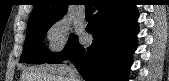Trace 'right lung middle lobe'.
<instances>
[{
    "label": "right lung middle lobe",
    "instance_id": "obj_1",
    "mask_svg": "<svg viewBox=\"0 0 169 81\" xmlns=\"http://www.w3.org/2000/svg\"><path fill=\"white\" fill-rule=\"evenodd\" d=\"M59 19L43 20L28 25L20 62L43 64L47 63L55 55V53H51L46 49L43 41L47 30ZM73 37L71 36L70 40Z\"/></svg>",
    "mask_w": 169,
    "mask_h": 81
}]
</instances>
